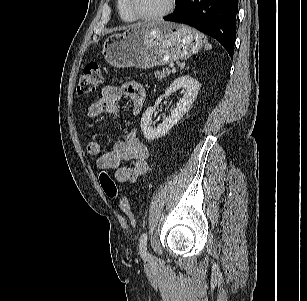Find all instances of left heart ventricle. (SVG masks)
I'll use <instances>...</instances> for the list:
<instances>
[{
    "mask_svg": "<svg viewBox=\"0 0 307 301\" xmlns=\"http://www.w3.org/2000/svg\"><path fill=\"white\" fill-rule=\"evenodd\" d=\"M133 2L141 14L152 15L164 10L169 0H133Z\"/></svg>",
    "mask_w": 307,
    "mask_h": 301,
    "instance_id": "obj_1",
    "label": "left heart ventricle"
}]
</instances>
